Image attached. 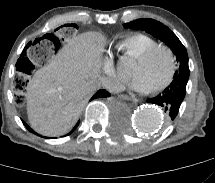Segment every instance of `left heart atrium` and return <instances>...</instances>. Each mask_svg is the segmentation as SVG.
Segmentation results:
<instances>
[{
  "mask_svg": "<svg viewBox=\"0 0 215 183\" xmlns=\"http://www.w3.org/2000/svg\"><path fill=\"white\" fill-rule=\"evenodd\" d=\"M130 87L138 92H148L150 89L142 77L134 76L130 81Z\"/></svg>",
  "mask_w": 215,
  "mask_h": 183,
  "instance_id": "39dd6f15",
  "label": "left heart atrium"
}]
</instances>
